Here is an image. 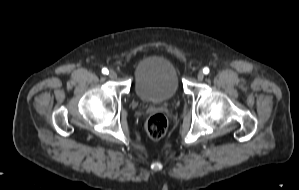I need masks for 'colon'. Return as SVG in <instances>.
Here are the masks:
<instances>
[{
  "label": "colon",
  "instance_id": "obj_1",
  "mask_svg": "<svg viewBox=\"0 0 299 190\" xmlns=\"http://www.w3.org/2000/svg\"><path fill=\"white\" fill-rule=\"evenodd\" d=\"M168 122L162 113L152 114L146 122V131L152 139H160L167 131Z\"/></svg>",
  "mask_w": 299,
  "mask_h": 190
}]
</instances>
